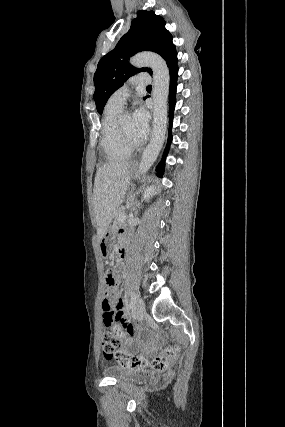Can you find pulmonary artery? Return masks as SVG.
<instances>
[{"label":"pulmonary artery","instance_id":"1","mask_svg":"<svg viewBox=\"0 0 285 427\" xmlns=\"http://www.w3.org/2000/svg\"><path fill=\"white\" fill-rule=\"evenodd\" d=\"M150 81H151V78L149 74H140L130 79V83L138 84L141 86H145L149 84ZM129 96H130V88L127 85H125L119 88L118 90H116L109 97L108 103L115 105L117 107L123 108Z\"/></svg>","mask_w":285,"mask_h":427}]
</instances>
